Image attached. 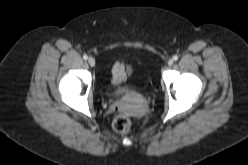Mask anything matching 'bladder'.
<instances>
[{
  "instance_id": "31cf9c89",
  "label": "bladder",
  "mask_w": 248,
  "mask_h": 165,
  "mask_svg": "<svg viewBox=\"0 0 248 165\" xmlns=\"http://www.w3.org/2000/svg\"><path fill=\"white\" fill-rule=\"evenodd\" d=\"M133 93V89L132 88H124L120 91L117 92V95L119 96H125V95H130Z\"/></svg>"
}]
</instances>
